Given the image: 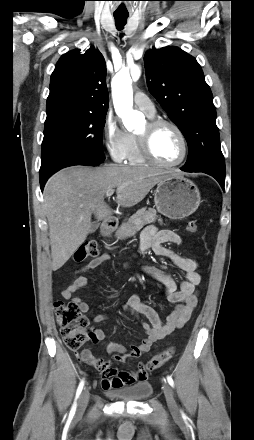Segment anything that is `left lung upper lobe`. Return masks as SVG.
<instances>
[{"label": "left lung upper lobe", "mask_w": 254, "mask_h": 440, "mask_svg": "<svg viewBox=\"0 0 254 440\" xmlns=\"http://www.w3.org/2000/svg\"><path fill=\"white\" fill-rule=\"evenodd\" d=\"M147 85L188 143L186 170L225 173L212 92L194 57L178 47L149 50L144 56Z\"/></svg>", "instance_id": "obj_1"}]
</instances>
